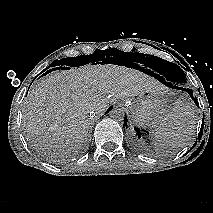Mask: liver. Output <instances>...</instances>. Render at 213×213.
Wrapping results in <instances>:
<instances>
[{
	"label": "liver",
	"instance_id": "obj_1",
	"mask_svg": "<svg viewBox=\"0 0 213 213\" xmlns=\"http://www.w3.org/2000/svg\"><path fill=\"white\" fill-rule=\"evenodd\" d=\"M162 89L150 75L119 65L53 73L38 80L25 100L26 137L47 155H70L81 148L89 113L101 114L116 100Z\"/></svg>",
	"mask_w": 213,
	"mask_h": 213
}]
</instances>
